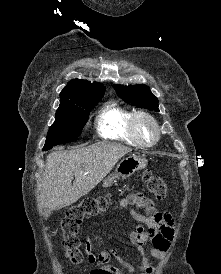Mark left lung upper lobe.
<instances>
[{"instance_id": "1", "label": "left lung upper lobe", "mask_w": 221, "mask_h": 274, "mask_svg": "<svg viewBox=\"0 0 221 274\" xmlns=\"http://www.w3.org/2000/svg\"><path fill=\"white\" fill-rule=\"evenodd\" d=\"M114 89L120 98L133 106L159 111L158 99L146 85L122 86L116 84Z\"/></svg>"}]
</instances>
